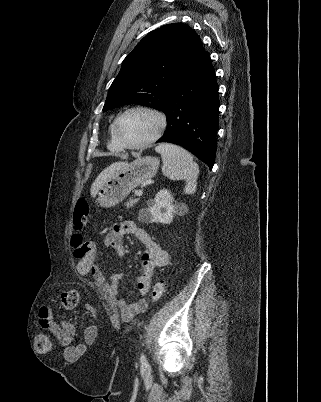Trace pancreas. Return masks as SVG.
<instances>
[{
	"mask_svg": "<svg viewBox=\"0 0 321 402\" xmlns=\"http://www.w3.org/2000/svg\"><path fill=\"white\" fill-rule=\"evenodd\" d=\"M136 203H137V200H136V199H134V198H129V201H127V202L125 203V206H126L127 208H133Z\"/></svg>",
	"mask_w": 321,
	"mask_h": 402,
	"instance_id": "cf45deb5",
	"label": "pancreas"
}]
</instances>
